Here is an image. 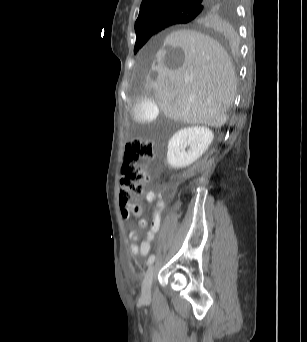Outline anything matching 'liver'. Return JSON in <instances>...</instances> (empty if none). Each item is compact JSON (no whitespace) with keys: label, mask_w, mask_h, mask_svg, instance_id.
I'll list each match as a JSON object with an SVG mask.
<instances>
[{"label":"liver","mask_w":307,"mask_h":342,"mask_svg":"<svg viewBox=\"0 0 307 342\" xmlns=\"http://www.w3.org/2000/svg\"><path fill=\"white\" fill-rule=\"evenodd\" d=\"M149 74H158V106L166 118L221 128L236 94V78L224 48L200 32L176 30L158 44ZM190 78H187V76Z\"/></svg>","instance_id":"1"}]
</instances>
